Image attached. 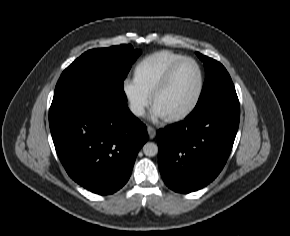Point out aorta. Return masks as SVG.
I'll return each instance as SVG.
<instances>
[{"label":"aorta","mask_w":290,"mask_h":236,"mask_svg":"<svg viewBox=\"0 0 290 236\" xmlns=\"http://www.w3.org/2000/svg\"><path fill=\"white\" fill-rule=\"evenodd\" d=\"M144 154L149 157H153L158 153V146L154 143H147L143 147Z\"/></svg>","instance_id":"762f6f07"}]
</instances>
